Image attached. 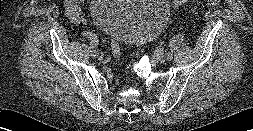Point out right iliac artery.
<instances>
[{
    "instance_id": "right-iliac-artery-1",
    "label": "right iliac artery",
    "mask_w": 253,
    "mask_h": 131,
    "mask_svg": "<svg viewBox=\"0 0 253 131\" xmlns=\"http://www.w3.org/2000/svg\"><path fill=\"white\" fill-rule=\"evenodd\" d=\"M91 52H92L93 54H96V55H99V54H100V51H99L96 47H93V48L91 49Z\"/></svg>"
}]
</instances>
